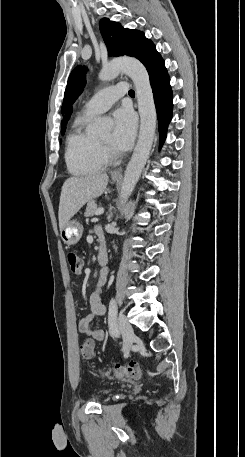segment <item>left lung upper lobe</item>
Masks as SVG:
<instances>
[{"label": "left lung upper lobe", "instance_id": "1", "mask_svg": "<svg viewBox=\"0 0 245 457\" xmlns=\"http://www.w3.org/2000/svg\"><path fill=\"white\" fill-rule=\"evenodd\" d=\"M99 26L110 56L127 55L142 61L150 52L156 50L155 45L143 32L124 29L119 23L107 18H103ZM85 73L86 70L82 66H77L71 72L64 94L62 113H66L81 94L86 83Z\"/></svg>", "mask_w": 245, "mask_h": 457}]
</instances>
